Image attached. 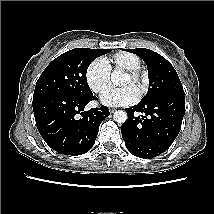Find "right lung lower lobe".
Instances as JSON below:
<instances>
[{"instance_id":"1","label":"right lung lower lobe","mask_w":214,"mask_h":214,"mask_svg":"<svg viewBox=\"0 0 214 214\" xmlns=\"http://www.w3.org/2000/svg\"><path fill=\"white\" fill-rule=\"evenodd\" d=\"M95 96L49 94L33 99L39 133L50 148L63 155L77 156L94 145L100 123L109 115L106 106L84 111ZM81 115V118L79 116Z\"/></svg>"}]
</instances>
